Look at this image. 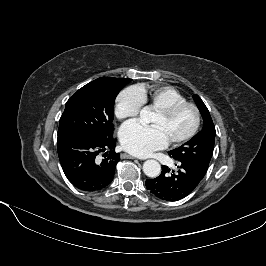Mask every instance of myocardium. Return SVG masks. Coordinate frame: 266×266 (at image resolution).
Masks as SVG:
<instances>
[{
    "mask_svg": "<svg viewBox=\"0 0 266 266\" xmlns=\"http://www.w3.org/2000/svg\"><path fill=\"white\" fill-rule=\"evenodd\" d=\"M185 108H189L192 110L193 114H194V123L192 128L189 130L188 133H186L184 136L178 138V139H174L171 140L170 143L173 145H181L186 143L187 141H189L190 139H192L198 132L200 124H201V113L199 108L191 102H183V103H178V104H174L171 105L169 107L163 108V109H159L156 111V113H158L159 115L163 116V117H171L174 114H176L177 112H179L182 109Z\"/></svg>",
    "mask_w": 266,
    "mask_h": 266,
    "instance_id": "1",
    "label": "myocardium"
}]
</instances>
